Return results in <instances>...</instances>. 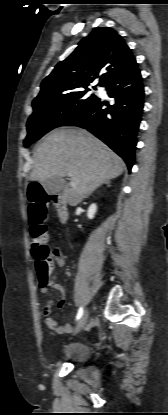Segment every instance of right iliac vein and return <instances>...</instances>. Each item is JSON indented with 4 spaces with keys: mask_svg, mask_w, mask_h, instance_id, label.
Wrapping results in <instances>:
<instances>
[{
    "mask_svg": "<svg viewBox=\"0 0 168 415\" xmlns=\"http://www.w3.org/2000/svg\"><path fill=\"white\" fill-rule=\"evenodd\" d=\"M88 322V310H86L84 312V314L82 315V317L80 318L79 322L77 323L75 329H74V334L79 333L87 324Z\"/></svg>",
    "mask_w": 168,
    "mask_h": 415,
    "instance_id": "obj_1",
    "label": "right iliac vein"
}]
</instances>
